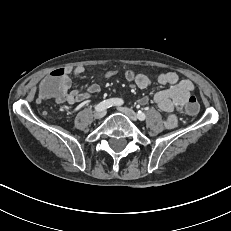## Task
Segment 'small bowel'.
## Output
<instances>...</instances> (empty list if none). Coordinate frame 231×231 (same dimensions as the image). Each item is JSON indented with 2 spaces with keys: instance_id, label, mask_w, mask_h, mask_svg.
Segmentation results:
<instances>
[{
  "instance_id": "c3829d8e",
  "label": "small bowel",
  "mask_w": 231,
  "mask_h": 231,
  "mask_svg": "<svg viewBox=\"0 0 231 231\" xmlns=\"http://www.w3.org/2000/svg\"><path fill=\"white\" fill-rule=\"evenodd\" d=\"M60 69L64 71V78L58 86L61 96L56 99L57 102L75 104L88 101L92 96L100 93L101 87L97 83L89 84L83 88L71 89V76L83 74L86 71L84 66H66ZM132 81L141 90L160 85L168 86L165 89L157 91L153 96V101L161 111L167 113V116L164 118L165 127L168 129L175 128L178 125L177 113L183 112V108L186 105V98L192 95L194 90L193 82L189 79H180L175 72L161 73L154 79H150L146 74L138 73ZM148 102L149 98L147 96L139 100V104L141 105H145Z\"/></svg>"
}]
</instances>
